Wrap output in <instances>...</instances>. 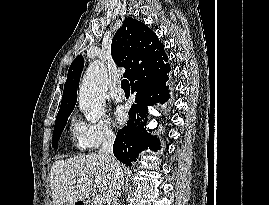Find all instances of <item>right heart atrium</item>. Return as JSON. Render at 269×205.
Returning <instances> with one entry per match:
<instances>
[{
	"label": "right heart atrium",
	"instance_id": "obj_1",
	"mask_svg": "<svg viewBox=\"0 0 269 205\" xmlns=\"http://www.w3.org/2000/svg\"><path fill=\"white\" fill-rule=\"evenodd\" d=\"M72 131L77 145L86 150L97 149L101 145L113 142L115 139L111 123L106 117H102L94 123L76 118L73 120Z\"/></svg>",
	"mask_w": 269,
	"mask_h": 205
}]
</instances>
